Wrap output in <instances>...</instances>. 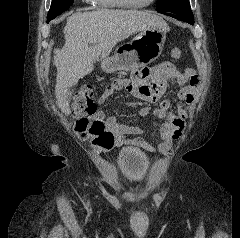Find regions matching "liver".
Masks as SVG:
<instances>
[{
	"label": "liver",
	"mask_w": 240,
	"mask_h": 238,
	"mask_svg": "<svg viewBox=\"0 0 240 238\" xmlns=\"http://www.w3.org/2000/svg\"><path fill=\"white\" fill-rule=\"evenodd\" d=\"M155 27L169 29L161 17L149 11L100 9L69 16L65 44L54 50L55 97L60 110L71 113L69 89L93 70L95 60L108 57L114 46L130 35Z\"/></svg>",
	"instance_id": "1"
}]
</instances>
